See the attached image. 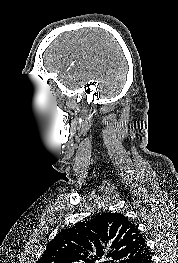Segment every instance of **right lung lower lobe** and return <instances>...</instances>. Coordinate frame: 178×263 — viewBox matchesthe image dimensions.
<instances>
[{
	"label": "right lung lower lobe",
	"mask_w": 178,
	"mask_h": 263,
	"mask_svg": "<svg viewBox=\"0 0 178 263\" xmlns=\"http://www.w3.org/2000/svg\"><path fill=\"white\" fill-rule=\"evenodd\" d=\"M140 263H152L151 255L148 254Z\"/></svg>",
	"instance_id": "obj_1"
}]
</instances>
